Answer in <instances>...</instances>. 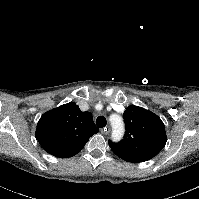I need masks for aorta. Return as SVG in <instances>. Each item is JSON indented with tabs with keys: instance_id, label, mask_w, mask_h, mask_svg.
Here are the masks:
<instances>
[{
	"instance_id": "obj_1",
	"label": "aorta",
	"mask_w": 199,
	"mask_h": 199,
	"mask_svg": "<svg viewBox=\"0 0 199 199\" xmlns=\"http://www.w3.org/2000/svg\"><path fill=\"white\" fill-rule=\"evenodd\" d=\"M110 122L112 126L111 137L114 141H119L120 139H122L125 131L123 119L119 115L113 114L110 116Z\"/></svg>"
}]
</instances>
